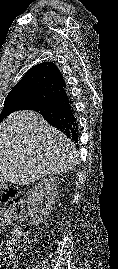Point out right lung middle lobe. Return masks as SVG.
Segmentation results:
<instances>
[{
    "label": "right lung middle lobe",
    "instance_id": "right-lung-middle-lobe-1",
    "mask_svg": "<svg viewBox=\"0 0 118 269\" xmlns=\"http://www.w3.org/2000/svg\"><path fill=\"white\" fill-rule=\"evenodd\" d=\"M22 97L20 94L7 95L0 114V122L9 114L25 109V103Z\"/></svg>",
    "mask_w": 118,
    "mask_h": 269
}]
</instances>
